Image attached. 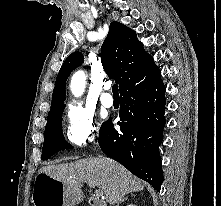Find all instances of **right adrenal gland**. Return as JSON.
Returning a JSON list of instances; mask_svg holds the SVG:
<instances>
[{
  "label": "right adrenal gland",
  "instance_id": "1",
  "mask_svg": "<svg viewBox=\"0 0 221 206\" xmlns=\"http://www.w3.org/2000/svg\"><path fill=\"white\" fill-rule=\"evenodd\" d=\"M127 199V197H124L123 199H121L116 206H119L120 203L124 202Z\"/></svg>",
  "mask_w": 221,
  "mask_h": 206
}]
</instances>
